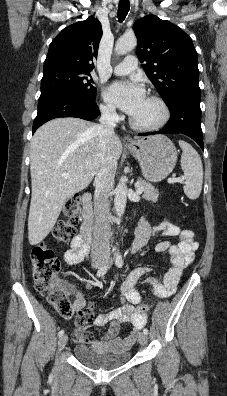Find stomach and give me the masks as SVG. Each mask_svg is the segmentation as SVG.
I'll list each match as a JSON object with an SVG mask.
<instances>
[{
    "mask_svg": "<svg viewBox=\"0 0 227 396\" xmlns=\"http://www.w3.org/2000/svg\"><path fill=\"white\" fill-rule=\"evenodd\" d=\"M127 148L139 162L144 178L150 182L164 180L177 162L174 144L163 135L138 139Z\"/></svg>",
    "mask_w": 227,
    "mask_h": 396,
    "instance_id": "stomach-1",
    "label": "stomach"
}]
</instances>
